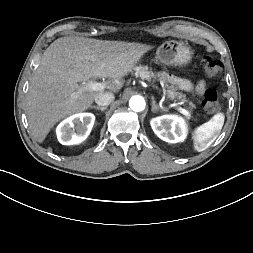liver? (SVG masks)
I'll return each instance as SVG.
<instances>
[{
    "label": "liver",
    "instance_id": "obj_1",
    "mask_svg": "<svg viewBox=\"0 0 253 253\" xmlns=\"http://www.w3.org/2000/svg\"><path fill=\"white\" fill-rule=\"evenodd\" d=\"M151 46L122 41L65 36L44 52L27 93L26 115L32 135L43 142L61 119L91 107L101 91L79 90V82L110 78L106 88L117 93L122 77L131 72Z\"/></svg>",
    "mask_w": 253,
    "mask_h": 253
}]
</instances>
